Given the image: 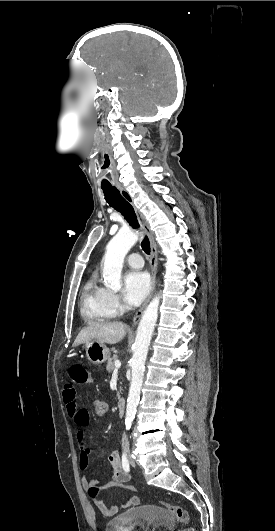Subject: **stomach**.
Returning a JSON list of instances; mask_svg holds the SVG:
<instances>
[{
    "label": "stomach",
    "mask_w": 275,
    "mask_h": 531,
    "mask_svg": "<svg viewBox=\"0 0 275 531\" xmlns=\"http://www.w3.org/2000/svg\"><path fill=\"white\" fill-rule=\"evenodd\" d=\"M86 349V357L90 363H93V365H102V363H105V361H108L110 359V351L107 349L106 345L104 343H98V341H89V343H86L85 345ZM73 359L79 358L78 352L72 353Z\"/></svg>",
    "instance_id": "obj_1"
}]
</instances>
